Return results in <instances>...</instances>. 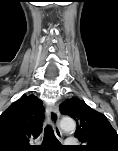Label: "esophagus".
Masks as SVG:
<instances>
[{"mask_svg":"<svg viewBox=\"0 0 118 151\" xmlns=\"http://www.w3.org/2000/svg\"><path fill=\"white\" fill-rule=\"evenodd\" d=\"M46 113H47L48 120L54 129L55 134L57 135V137H61L62 132L58 125L59 122L58 107L56 105H49L46 109Z\"/></svg>","mask_w":118,"mask_h":151,"instance_id":"esophagus-1","label":"esophagus"}]
</instances>
